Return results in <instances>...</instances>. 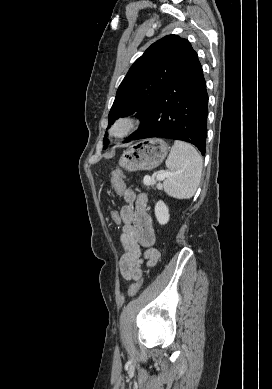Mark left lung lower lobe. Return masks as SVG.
Returning <instances> with one entry per match:
<instances>
[{"mask_svg":"<svg viewBox=\"0 0 272 389\" xmlns=\"http://www.w3.org/2000/svg\"><path fill=\"white\" fill-rule=\"evenodd\" d=\"M207 103L206 82L196 56L161 91L130 140L151 137L182 140L195 145L204 155Z\"/></svg>","mask_w":272,"mask_h":389,"instance_id":"1","label":"left lung lower lobe"}]
</instances>
